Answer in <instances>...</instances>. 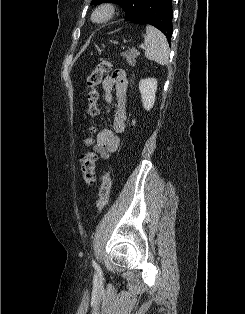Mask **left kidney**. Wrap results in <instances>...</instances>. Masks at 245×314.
<instances>
[{
    "mask_svg": "<svg viewBox=\"0 0 245 314\" xmlns=\"http://www.w3.org/2000/svg\"><path fill=\"white\" fill-rule=\"evenodd\" d=\"M157 90V80L154 78L142 79L139 83V91L142 98L143 107L149 111L155 103Z\"/></svg>",
    "mask_w": 245,
    "mask_h": 314,
    "instance_id": "1",
    "label": "left kidney"
}]
</instances>
